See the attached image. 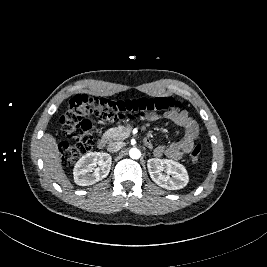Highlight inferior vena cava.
<instances>
[{
	"instance_id": "1",
	"label": "inferior vena cava",
	"mask_w": 267,
	"mask_h": 267,
	"mask_svg": "<svg viewBox=\"0 0 267 267\" xmlns=\"http://www.w3.org/2000/svg\"><path fill=\"white\" fill-rule=\"evenodd\" d=\"M123 146V142H110L107 146V151L110 153H114L119 151Z\"/></svg>"
}]
</instances>
